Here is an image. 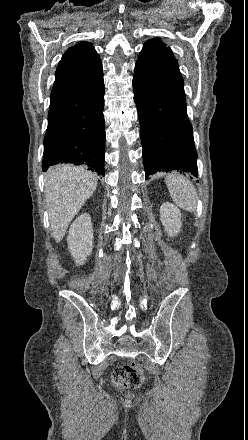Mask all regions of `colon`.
Wrapping results in <instances>:
<instances>
[{"mask_svg":"<svg viewBox=\"0 0 248 440\" xmlns=\"http://www.w3.org/2000/svg\"><path fill=\"white\" fill-rule=\"evenodd\" d=\"M112 380L119 388H136L142 384L143 374L135 363L120 365L116 367L112 374Z\"/></svg>","mask_w":248,"mask_h":440,"instance_id":"colon-1","label":"colon"}]
</instances>
